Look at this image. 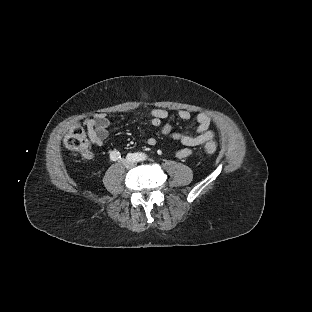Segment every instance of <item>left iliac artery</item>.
<instances>
[{
  "instance_id": "44dca946",
  "label": "left iliac artery",
  "mask_w": 312,
  "mask_h": 312,
  "mask_svg": "<svg viewBox=\"0 0 312 312\" xmlns=\"http://www.w3.org/2000/svg\"><path fill=\"white\" fill-rule=\"evenodd\" d=\"M144 158H145V155H144V154H136V159H137L138 161H142V160H144Z\"/></svg>"
}]
</instances>
